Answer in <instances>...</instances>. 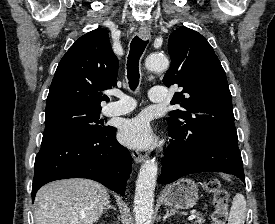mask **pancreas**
Instances as JSON below:
<instances>
[{"instance_id":"cf45deb5","label":"pancreas","mask_w":275,"mask_h":224,"mask_svg":"<svg viewBox=\"0 0 275 224\" xmlns=\"http://www.w3.org/2000/svg\"><path fill=\"white\" fill-rule=\"evenodd\" d=\"M205 220L203 216H198L197 219L194 221V224H204Z\"/></svg>"}]
</instances>
